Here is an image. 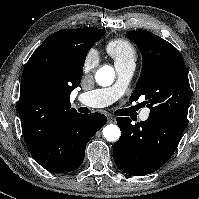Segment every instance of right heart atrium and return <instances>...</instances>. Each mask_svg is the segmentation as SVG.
Segmentation results:
<instances>
[{"mask_svg":"<svg viewBox=\"0 0 199 199\" xmlns=\"http://www.w3.org/2000/svg\"><path fill=\"white\" fill-rule=\"evenodd\" d=\"M97 61H98V55H97L96 51H94V50L88 51V53L84 59V63H83L84 70L88 71V70L93 69V67L96 65Z\"/></svg>","mask_w":199,"mask_h":199,"instance_id":"d8ad5b80","label":"right heart atrium"}]
</instances>
